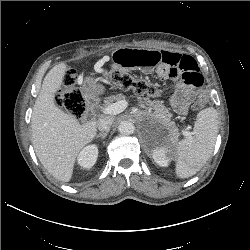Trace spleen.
<instances>
[{
	"label": "spleen",
	"mask_w": 250,
	"mask_h": 250,
	"mask_svg": "<svg viewBox=\"0 0 250 250\" xmlns=\"http://www.w3.org/2000/svg\"><path fill=\"white\" fill-rule=\"evenodd\" d=\"M218 133V113L210 107L197 115L192 136L180 141L175 152L176 175L189 178L210 158Z\"/></svg>",
	"instance_id": "spleen-1"
}]
</instances>
